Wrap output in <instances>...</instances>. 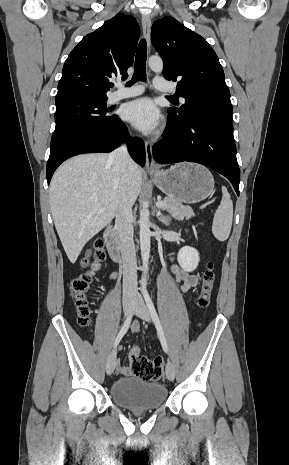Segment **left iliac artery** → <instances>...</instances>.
<instances>
[{"label": "left iliac artery", "mask_w": 289, "mask_h": 465, "mask_svg": "<svg viewBox=\"0 0 289 465\" xmlns=\"http://www.w3.org/2000/svg\"><path fill=\"white\" fill-rule=\"evenodd\" d=\"M144 299H145L147 307H148V309L150 311V314L152 316L154 324L156 326L157 333H158L162 348L166 353H168V346H167L166 339H165V336H164V333H163V329H162L158 314L156 312L155 306H154V304L152 302V299L150 298L148 292L144 293Z\"/></svg>", "instance_id": "1"}]
</instances>
